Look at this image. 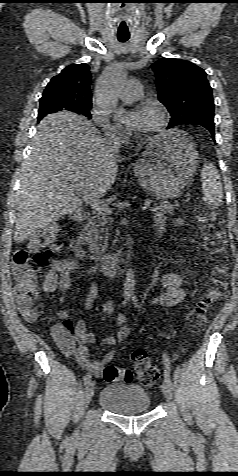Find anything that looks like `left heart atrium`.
<instances>
[{"mask_svg": "<svg viewBox=\"0 0 238 476\" xmlns=\"http://www.w3.org/2000/svg\"><path fill=\"white\" fill-rule=\"evenodd\" d=\"M146 117V110L139 108L128 112L119 119V125L132 134H140Z\"/></svg>", "mask_w": 238, "mask_h": 476, "instance_id": "obj_1", "label": "left heart atrium"}]
</instances>
